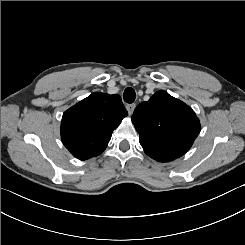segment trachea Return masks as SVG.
<instances>
[{
    "label": "trachea",
    "mask_w": 245,
    "mask_h": 245,
    "mask_svg": "<svg viewBox=\"0 0 245 245\" xmlns=\"http://www.w3.org/2000/svg\"><path fill=\"white\" fill-rule=\"evenodd\" d=\"M136 98V93L134 89L128 87L125 89L123 94V99L126 103H133Z\"/></svg>",
    "instance_id": "3493384b"
}]
</instances>
